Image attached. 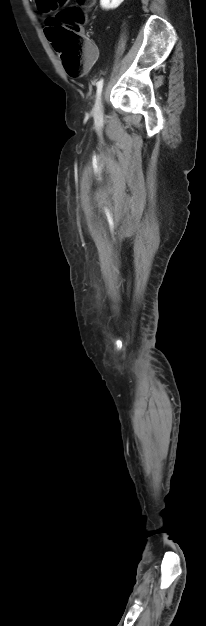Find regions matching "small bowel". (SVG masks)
Here are the masks:
<instances>
[{"instance_id":"c3829d8e","label":"small bowel","mask_w":206,"mask_h":626,"mask_svg":"<svg viewBox=\"0 0 206 626\" xmlns=\"http://www.w3.org/2000/svg\"><path fill=\"white\" fill-rule=\"evenodd\" d=\"M41 3H42V0H38V6L42 10ZM50 19L51 18H47L46 19V27H45V30H44L45 35H46V37H47V39L49 41H51V39H50L51 25L49 23ZM89 48H90L91 54H90V56H89V58L87 60L86 66H85L86 70H88L90 68V66L93 64V62L96 59V55H97L96 47L92 43H89Z\"/></svg>"}]
</instances>
